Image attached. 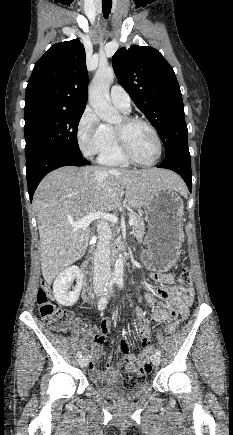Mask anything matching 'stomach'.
<instances>
[{
  "mask_svg": "<svg viewBox=\"0 0 233 435\" xmlns=\"http://www.w3.org/2000/svg\"><path fill=\"white\" fill-rule=\"evenodd\" d=\"M143 208L149 227L143 259L149 268L167 272L180 255L183 200L176 190L161 187Z\"/></svg>",
  "mask_w": 233,
  "mask_h": 435,
  "instance_id": "1",
  "label": "stomach"
}]
</instances>
